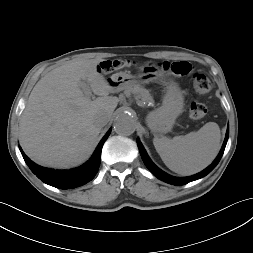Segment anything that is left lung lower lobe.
<instances>
[{
  "instance_id": "obj_1",
  "label": "left lung lower lobe",
  "mask_w": 253,
  "mask_h": 253,
  "mask_svg": "<svg viewBox=\"0 0 253 253\" xmlns=\"http://www.w3.org/2000/svg\"><path fill=\"white\" fill-rule=\"evenodd\" d=\"M228 137H229V129H227L225 140H224L223 146H222V148H221L218 156L216 157V159L213 161V163L210 166H208L206 169H204L203 171H201V172H199V173H197L195 175H192V176H189V177H183V178L173 177V176L165 173L164 171H162L160 168H158L151 161V159L147 155V153H146V151H145L144 147L142 146V144H141V142H140L139 139H137V145H138V148H139L142 160L145 163V165L147 166V168L158 179H160V180H162V181H164L166 183L178 186V185H184V184H187V183H189L191 181L203 178L204 176H206L207 174H209L216 167V165L219 163V161H220V159H221V157H222V155L224 153Z\"/></svg>"
}]
</instances>
